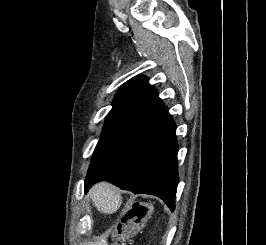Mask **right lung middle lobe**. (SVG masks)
Here are the masks:
<instances>
[{
	"instance_id": "dd1d6c3e",
	"label": "right lung middle lobe",
	"mask_w": 266,
	"mask_h": 245,
	"mask_svg": "<svg viewBox=\"0 0 266 245\" xmlns=\"http://www.w3.org/2000/svg\"><path fill=\"white\" fill-rule=\"evenodd\" d=\"M143 123L145 122L141 120H122L107 117L101 139L95 148V153L89 168L116 148Z\"/></svg>"
}]
</instances>
